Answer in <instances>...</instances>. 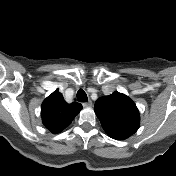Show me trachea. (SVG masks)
I'll use <instances>...</instances> for the list:
<instances>
[{"label": "trachea", "instance_id": "obj_1", "mask_svg": "<svg viewBox=\"0 0 176 176\" xmlns=\"http://www.w3.org/2000/svg\"><path fill=\"white\" fill-rule=\"evenodd\" d=\"M77 100L79 102H87L88 101L87 94L85 93L84 90H82V89L78 90V92H77Z\"/></svg>", "mask_w": 176, "mask_h": 176}]
</instances>
